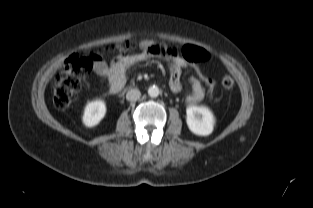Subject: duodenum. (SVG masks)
I'll return each mask as SVG.
<instances>
[{
    "label": "duodenum",
    "mask_w": 313,
    "mask_h": 208,
    "mask_svg": "<svg viewBox=\"0 0 313 208\" xmlns=\"http://www.w3.org/2000/svg\"><path fill=\"white\" fill-rule=\"evenodd\" d=\"M126 88V86H122V87H120L119 89L120 90H123V89H125Z\"/></svg>",
    "instance_id": "obj_1"
}]
</instances>
